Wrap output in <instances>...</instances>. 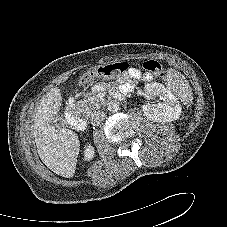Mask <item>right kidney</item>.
Returning <instances> with one entry per match:
<instances>
[{
  "mask_svg": "<svg viewBox=\"0 0 227 227\" xmlns=\"http://www.w3.org/2000/svg\"><path fill=\"white\" fill-rule=\"evenodd\" d=\"M95 150L94 148L89 144L85 147L84 151V158L85 160L89 161L94 157Z\"/></svg>",
  "mask_w": 227,
  "mask_h": 227,
  "instance_id": "ca27d5eb",
  "label": "right kidney"
}]
</instances>
